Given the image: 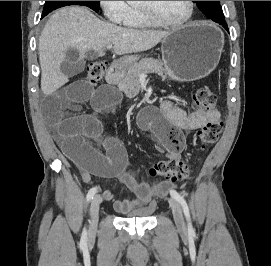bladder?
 I'll use <instances>...</instances> for the list:
<instances>
[{"instance_id": "obj_1", "label": "bladder", "mask_w": 271, "mask_h": 266, "mask_svg": "<svg viewBox=\"0 0 271 266\" xmlns=\"http://www.w3.org/2000/svg\"><path fill=\"white\" fill-rule=\"evenodd\" d=\"M152 209L138 210L129 214L123 215V218H148L151 215Z\"/></svg>"}]
</instances>
